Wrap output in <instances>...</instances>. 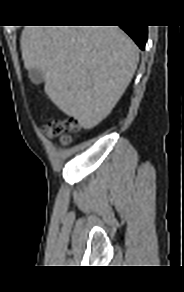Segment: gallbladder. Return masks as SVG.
Segmentation results:
<instances>
[{"instance_id":"gallbladder-1","label":"gallbladder","mask_w":184,"mask_h":292,"mask_svg":"<svg viewBox=\"0 0 184 292\" xmlns=\"http://www.w3.org/2000/svg\"><path fill=\"white\" fill-rule=\"evenodd\" d=\"M28 75L31 82L35 85H38L45 80L44 74L36 68L30 69Z\"/></svg>"}]
</instances>
